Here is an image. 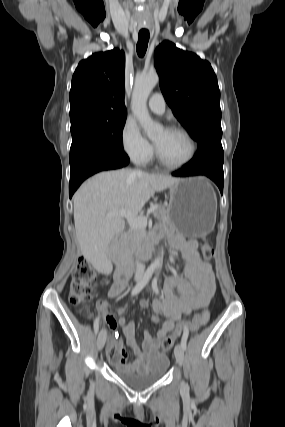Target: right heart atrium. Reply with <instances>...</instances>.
<instances>
[{
	"instance_id": "1",
	"label": "right heart atrium",
	"mask_w": 285,
	"mask_h": 427,
	"mask_svg": "<svg viewBox=\"0 0 285 427\" xmlns=\"http://www.w3.org/2000/svg\"><path fill=\"white\" fill-rule=\"evenodd\" d=\"M121 146L124 153L136 163H146L153 156L152 144L142 135L135 121L127 119L121 129Z\"/></svg>"
}]
</instances>
